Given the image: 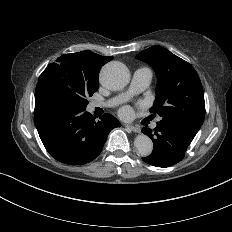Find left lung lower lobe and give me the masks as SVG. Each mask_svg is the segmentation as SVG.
Instances as JSON below:
<instances>
[{"mask_svg":"<svg viewBox=\"0 0 232 232\" xmlns=\"http://www.w3.org/2000/svg\"><path fill=\"white\" fill-rule=\"evenodd\" d=\"M142 132L152 139L154 145L152 153L142 160L156 167H169L180 162L191 143V140L160 125L154 131L143 128Z\"/></svg>","mask_w":232,"mask_h":232,"instance_id":"1","label":"left lung lower lobe"}]
</instances>
